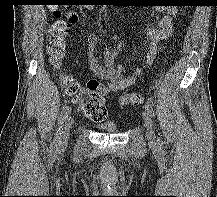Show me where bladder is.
Returning <instances> with one entry per match:
<instances>
[{
    "label": "bladder",
    "instance_id": "31cf9c89",
    "mask_svg": "<svg viewBox=\"0 0 217 197\" xmlns=\"http://www.w3.org/2000/svg\"><path fill=\"white\" fill-rule=\"evenodd\" d=\"M96 128L99 129V130L109 132V133H115V132L118 131L117 124H115L113 122L97 124Z\"/></svg>",
    "mask_w": 217,
    "mask_h": 197
}]
</instances>
